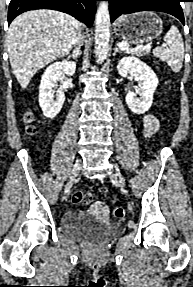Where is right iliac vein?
I'll return each instance as SVG.
<instances>
[{"label": "right iliac vein", "instance_id": "obj_1", "mask_svg": "<svg viewBox=\"0 0 193 287\" xmlns=\"http://www.w3.org/2000/svg\"><path fill=\"white\" fill-rule=\"evenodd\" d=\"M80 164H81V161L78 159L76 161V163L74 164L71 172H70L69 180H68L66 187H65V193H69V191L73 185L74 180L78 176L79 171H80Z\"/></svg>", "mask_w": 193, "mask_h": 287}]
</instances>
